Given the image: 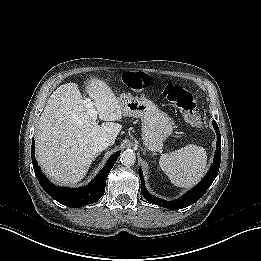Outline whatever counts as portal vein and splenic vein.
Masks as SVG:
<instances>
[{"label": "portal vein and splenic vein", "mask_w": 261, "mask_h": 261, "mask_svg": "<svg viewBox=\"0 0 261 261\" xmlns=\"http://www.w3.org/2000/svg\"><path fill=\"white\" fill-rule=\"evenodd\" d=\"M84 104H85V106H86V108L88 109V111H89V113H90V117L94 120V121H96L97 120V111H96V109L94 108V106H93V104H92V102H91V99H89V98H86L85 100H84Z\"/></svg>", "instance_id": "18ae733b"}]
</instances>
